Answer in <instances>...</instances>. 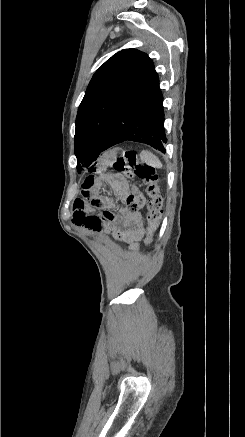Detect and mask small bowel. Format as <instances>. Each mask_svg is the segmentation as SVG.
<instances>
[{
    "mask_svg": "<svg viewBox=\"0 0 245 437\" xmlns=\"http://www.w3.org/2000/svg\"><path fill=\"white\" fill-rule=\"evenodd\" d=\"M114 161L113 150H102L97 166H90L89 171L86 172L82 193L93 208H100L103 205V200L93 194L99 189L96 180H100L101 175L112 168ZM108 184L121 199H124L129 192L128 184L122 176L110 177ZM73 221L92 232H100L103 229L111 231L116 240L124 242L134 255L138 254L145 227L144 216L140 211L130 212L121 208L117 214H113L108 209L100 215L90 214L86 200L80 198L76 199L73 205Z\"/></svg>",
    "mask_w": 245,
    "mask_h": 437,
    "instance_id": "1",
    "label": "small bowel"
}]
</instances>
